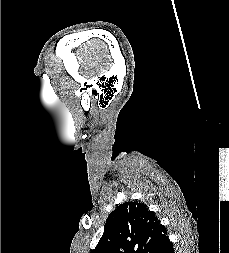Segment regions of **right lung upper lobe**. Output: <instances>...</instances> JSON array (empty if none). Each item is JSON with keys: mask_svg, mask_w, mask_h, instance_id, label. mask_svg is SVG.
<instances>
[{"mask_svg": "<svg viewBox=\"0 0 229 253\" xmlns=\"http://www.w3.org/2000/svg\"><path fill=\"white\" fill-rule=\"evenodd\" d=\"M169 241L166 228L140 202L117 206L91 253H157Z\"/></svg>", "mask_w": 229, "mask_h": 253, "instance_id": "cb5924a9", "label": "right lung upper lobe"}]
</instances>
